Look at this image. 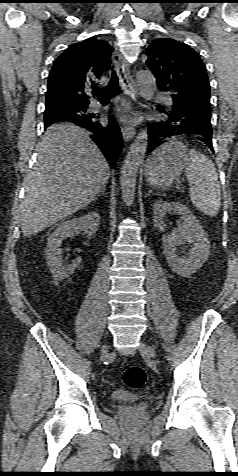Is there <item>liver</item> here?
I'll return each mask as SVG.
<instances>
[{"label": "liver", "instance_id": "1", "mask_svg": "<svg viewBox=\"0 0 238 476\" xmlns=\"http://www.w3.org/2000/svg\"><path fill=\"white\" fill-rule=\"evenodd\" d=\"M109 175V164L88 132L73 124L49 127L25 178L23 235L29 237L86 207Z\"/></svg>", "mask_w": 238, "mask_h": 476}]
</instances>
